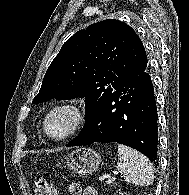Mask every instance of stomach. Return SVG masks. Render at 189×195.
<instances>
[{
    "label": "stomach",
    "mask_w": 189,
    "mask_h": 195,
    "mask_svg": "<svg viewBox=\"0 0 189 195\" xmlns=\"http://www.w3.org/2000/svg\"><path fill=\"white\" fill-rule=\"evenodd\" d=\"M100 162L101 156L98 152L80 148L68 155L65 166L77 174L87 175L96 171Z\"/></svg>",
    "instance_id": "stomach-1"
}]
</instances>
